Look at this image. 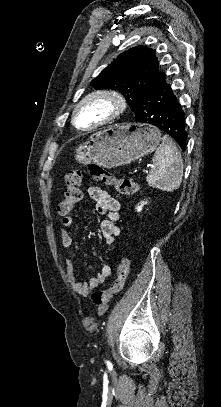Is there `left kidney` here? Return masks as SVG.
I'll use <instances>...</instances> for the list:
<instances>
[{
  "label": "left kidney",
  "instance_id": "left-kidney-1",
  "mask_svg": "<svg viewBox=\"0 0 221 407\" xmlns=\"http://www.w3.org/2000/svg\"><path fill=\"white\" fill-rule=\"evenodd\" d=\"M144 204H146V202H142L141 205H138L136 207L137 211L140 212L142 210V207L144 206Z\"/></svg>",
  "mask_w": 221,
  "mask_h": 407
}]
</instances>
